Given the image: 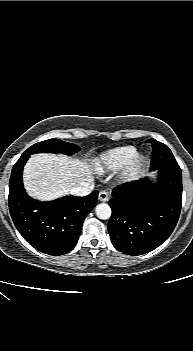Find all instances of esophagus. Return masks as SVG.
<instances>
[{
    "mask_svg": "<svg viewBox=\"0 0 193 351\" xmlns=\"http://www.w3.org/2000/svg\"><path fill=\"white\" fill-rule=\"evenodd\" d=\"M98 199L102 202H106L109 199V194L106 191H100L98 195Z\"/></svg>",
    "mask_w": 193,
    "mask_h": 351,
    "instance_id": "1",
    "label": "esophagus"
}]
</instances>
